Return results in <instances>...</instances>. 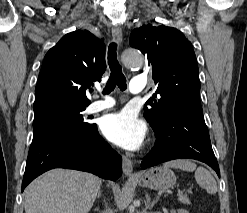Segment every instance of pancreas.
<instances>
[{
    "mask_svg": "<svg viewBox=\"0 0 247 213\" xmlns=\"http://www.w3.org/2000/svg\"><path fill=\"white\" fill-rule=\"evenodd\" d=\"M178 200L183 204H190L189 198L187 195H180L178 196Z\"/></svg>",
    "mask_w": 247,
    "mask_h": 213,
    "instance_id": "cf45deb5",
    "label": "pancreas"
}]
</instances>
